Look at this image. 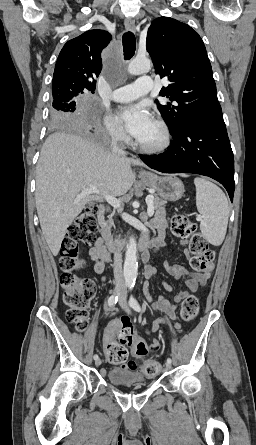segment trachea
Segmentation results:
<instances>
[{"mask_svg": "<svg viewBox=\"0 0 256 445\" xmlns=\"http://www.w3.org/2000/svg\"><path fill=\"white\" fill-rule=\"evenodd\" d=\"M122 42H123L124 59L129 60L133 57L136 50V39L134 34L130 31L124 33L122 37Z\"/></svg>", "mask_w": 256, "mask_h": 445, "instance_id": "obj_1", "label": "trachea"}]
</instances>
